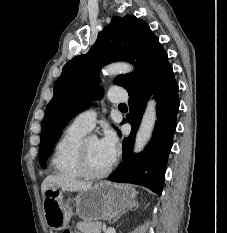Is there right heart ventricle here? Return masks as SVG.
Listing matches in <instances>:
<instances>
[{
    "label": "right heart ventricle",
    "instance_id": "obj_1",
    "mask_svg": "<svg viewBox=\"0 0 227 233\" xmlns=\"http://www.w3.org/2000/svg\"><path fill=\"white\" fill-rule=\"evenodd\" d=\"M86 133L70 125L58 140L51 163L60 177L79 179L84 176L78 166V150Z\"/></svg>",
    "mask_w": 227,
    "mask_h": 233
}]
</instances>
